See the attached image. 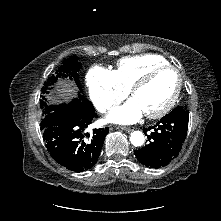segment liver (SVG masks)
<instances>
[{
	"label": "liver",
	"mask_w": 221,
	"mask_h": 221,
	"mask_svg": "<svg viewBox=\"0 0 221 221\" xmlns=\"http://www.w3.org/2000/svg\"><path fill=\"white\" fill-rule=\"evenodd\" d=\"M62 88L59 89L60 96H70L75 92V88L71 84L62 83Z\"/></svg>",
	"instance_id": "6515ba94"
}]
</instances>
